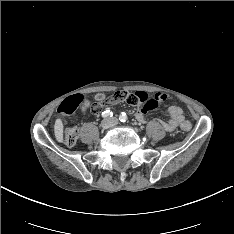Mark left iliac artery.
Returning <instances> with one entry per match:
<instances>
[{
    "label": "left iliac artery",
    "mask_w": 234,
    "mask_h": 234,
    "mask_svg": "<svg viewBox=\"0 0 234 234\" xmlns=\"http://www.w3.org/2000/svg\"><path fill=\"white\" fill-rule=\"evenodd\" d=\"M127 115L125 113H121V115L119 116V120L121 122H126L127 121Z\"/></svg>",
    "instance_id": "44dca946"
}]
</instances>
